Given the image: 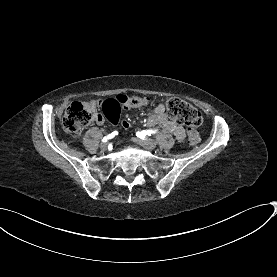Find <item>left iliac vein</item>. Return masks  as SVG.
Segmentation results:
<instances>
[{"mask_svg":"<svg viewBox=\"0 0 277 277\" xmlns=\"http://www.w3.org/2000/svg\"><path fill=\"white\" fill-rule=\"evenodd\" d=\"M132 140L133 142L145 147L148 150L155 149L157 146V142L153 139L141 140V139L133 138Z\"/></svg>","mask_w":277,"mask_h":277,"instance_id":"obj_1","label":"left iliac vein"}]
</instances>
